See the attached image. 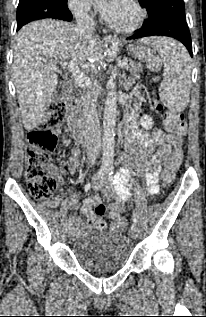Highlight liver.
Wrapping results in <instances>:
<instances>
[{
	"label": "liver",
	"instance_id": "liver-1",
	"mask_svg": "<svg viewBox=\"0 0 206 317\" xmlns=\"http://www.w3.org/2000/svg\"><path fill=\"white\" fill-rule=\"evenodd\" d=\"M99 41L80 39L76 27L52 19L32 22L17 34L13 57V78L24 128L37 127L59 84L58 59L85 63L100 57ZM94 68L91 62L83 65Z\"/></svg>",
	"mask_w": 206,
	"mask_h": 317
}]
</instances>
